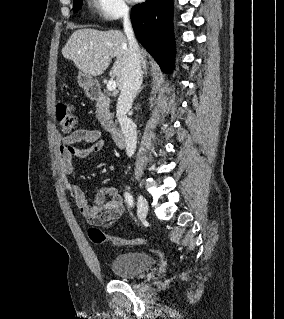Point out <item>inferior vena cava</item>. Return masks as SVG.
Segmentation results:
<instances>
[{
    "instance_id": "1",
    "label": "inferior vena cava",
    "mask_w": 284,
    "mask_h": 319,
    "mask_svg": "<svg viewBox=\"0 0 284 319\" xmlns=\"http://www.w3.org/2000/svg\"><path fill=\"white\" fill-rule=\"evenodd\" d=\"M122 17L124 32L128 41L129 62L117 101V119L124 134L126 153L131 157L136 150L137 132L135 123L127 117V113L131 109L133 100L141 86L143 72L141 70L140 49L134 36L128 10L122 11Z\"/></svg>"
}]
</instances>
